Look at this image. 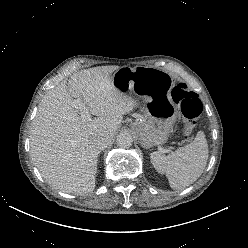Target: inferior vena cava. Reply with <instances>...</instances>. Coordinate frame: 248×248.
Wrapping results in <instances>:
<instances>
[{
  "label": "inferior vena cava",
  "instance_id": "obj_1",
  "mask_svg": "<svg viewBox=\"0 0 248 248\" xmlns=\"http://www.w3.org/2000/svg\"><path fill=\"white\" fill-rule=\"evenodd\" d=\"M111 141V138L108 135L100 134L93 139V144L99 150L105 149Z\"/></svg>",
  "mask_w": 248,
  "mask_h": 248
}]
</instances>
